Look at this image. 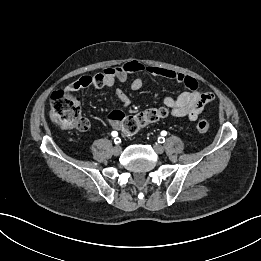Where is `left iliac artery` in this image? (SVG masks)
Listing matches in <instances>:
<instances>
[{"label": "left iliac artery", "mask_w": 261, "mask_h": 261, "mask_svg": "<svg viewBox=\"0 0 261 261\" xmlns=\"http://www.w3.org/2000/svg\"><path fill=\"white\" fill-rule=\"evenodd\" d=\"M166 134H167L166 131H162V132H161V135H162V136H166ZM158 142H159V143H164V142H165L164 137H159V138H158Z\"/></svg>", "instance_id": "44dca946"}]
</instances>
